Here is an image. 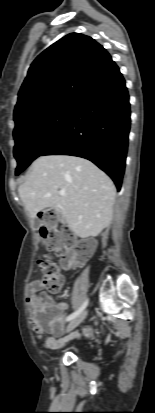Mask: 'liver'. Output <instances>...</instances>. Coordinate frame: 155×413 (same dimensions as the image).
Segmentation results:
<instances>
[{
	"mask_svg": "<svg viewBox=\"0 0 155 413\" xmlns=\"http://www.w3.org/2000/svg\"><path fill=\"white\" fill-rule=\"evenodd\" d=\"M18 192L30 218L45 208H55L75 235L87 238L98 236L110 224L116 188L89 160L48 155L33 162Z\"/></svg>",
	"mask_w": 155,
	"mask_h": 413,
	"instance_id": "obj_1",
	"label": "liver"
}]
</instances>
